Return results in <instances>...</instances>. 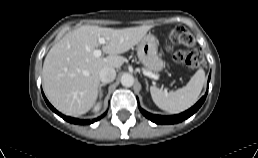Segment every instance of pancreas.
<instances>
[{"mask_svg":"<svg viewBox=\"0 0 258 158\" xmlns=\"http://www.w3.org/2000/svg\"><path fill=\"white\" fill-rule=\"evenodd\" d=\"M143 70H144V71H149V72H150V70H149V69H146V68H144Z\"/></svg>","mask_w":258,"mask_h":158,"instance_id":"pancreas-1","label":"pancreas"}]
</instances>
